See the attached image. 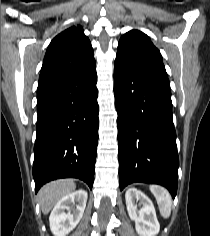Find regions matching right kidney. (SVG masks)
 I'll use <instances>...</instances> for the list:
<instances>
[{
  "instance_id": "obj_1",
  "label": "right kidney",
  "mask_w": 210,
  "mask_h": 236,
  "mask_svg": "<svg viewBox=\"0 0 210 236\" xmlns=\"http://www.w3.org/2000/svg\"><path fill=\"white\" fill-rule=\"evenodd\" d=\"M87 198V192L79 189L57 202L49 217L50 229L55 236H65L77 226L83 216Z\"/></svg>"
}]
</instances>
